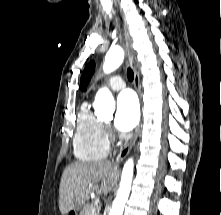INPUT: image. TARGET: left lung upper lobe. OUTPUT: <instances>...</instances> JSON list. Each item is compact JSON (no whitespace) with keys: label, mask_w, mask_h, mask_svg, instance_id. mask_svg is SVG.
I'll return each instance as SVG.
<instances>
[{"label":"left lung upper lobe","mask_w":221,"mask_h":215,"mask_svg":"<svg viewBox=\"0 0 221 215\" xmlns=\"http://www.w3.org/2000/svg\"><path fill=\"white\" fill-rule=\"evenodd\" d=\"M95 68V63L94 61H91L84 69L82 76H81V81H80V88L82 91H85L88 83L93 75Z\"/></svg>","instance_id":"5c2ea615"}]
</instances>
